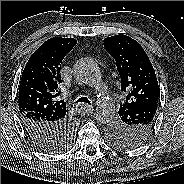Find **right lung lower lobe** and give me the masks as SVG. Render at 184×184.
<instances>
[{
	"mask_svg": "<svg viewBox=\"0 0 184 184\" xmlns=\"http://www.w3.org/2000/svg\"><path fill=\"white\" fill-rule=\"evenodd\" d=\"M21 121L29 138L45 151L44 147L59 145L68 130H72L74 134L73 121L67 117L49 120L41 114L26 113L21 115ZM62 149L65 150V146Z\"/></svg>",
	"mask_w": 184,
	"mask_h": 184,
	"instance_id": "98d812e1",
	"label": "right lung lower lobe"
}]
</instances>
